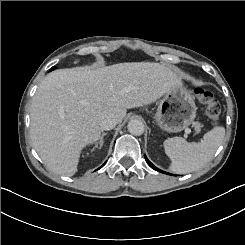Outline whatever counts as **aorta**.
Here are the masks:
<instances>
[{"instance_id": "762f6f07", "label": "aorta", "mask_w": 245, "mask_h": 245, "mask_svg": "<svg viewBox=\"0 0 245 245\" xmlns=\"http://www.w3.org/2000/svg\"><path fill=\"white\" fill-rule=\"evenodd\" d=\"M128 131L135 136H140L144 132V124L138 119H132L128 122Z\"/></svg>"}]
</instances>
